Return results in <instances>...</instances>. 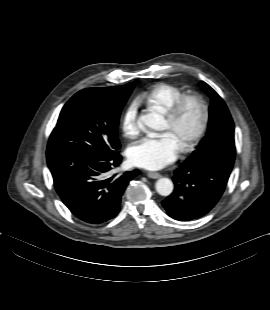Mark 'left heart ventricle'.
I'll list each match as a JSON object with an SVG mask.
<instances>
[{"mask_svg": "<svg viewBox=\"0 0 270 310\" xmlns=\"http://www.w3.org/2000/svg\"><path fill=\"white\" fill-rule=\"evenodd\" d=\"M200 123V110L196 104L190 103L183 111L176 124L170 125L165 120L162 132L169 133L181 146L197 130Z\"/></svg>", "mask_w": 270, "mask_h": 310, "instance_id": "b2bd125f", "label": "left heart ventricle"}]
</instances>
